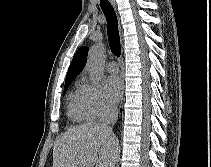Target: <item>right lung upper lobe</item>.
I'll return each instance as SVG.
<instances>
[{"instance_id":"cb5924a9","label":"right lung upper lobe","mask_w":211,"mask_h":167,"mask_svg":"<svg viewBox=\"0 0 211 167\" xmlns=\"http://www.w3.org/2000/svg\"><path fill=\"white\" fill-rule=\"evenodd\" d=\"M87 52L88 49L86 47H82L75 53L68 69L65 82L73 81L75 76L83 70L86 63Z\"/></svg>"}]
</instances>
